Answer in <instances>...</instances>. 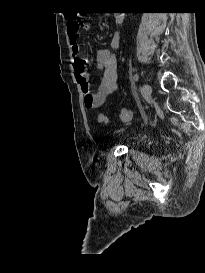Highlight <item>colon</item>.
Returning <instances> with one entry per match:
<instances>
[{"instance_id": "5ec220e1", "label": "colon", "mask_w": 205, "mask_h": 273, "mask_svg": "<svg viewBox=\"0 0 205 273\" xmlns=\"http://www.w3.org/2000/svg\"><path fill=\"white\" fill-rule=\"evenodd\" d=\"M82 25H83V22L80 21V22H78V24H76V28H81ZM120 118L124 122L130 121L131 118H132V111L130 109H127V108H122L121 111H120ZM99 122L107 123L108 118L106 116H104V115H100L99 116Z\"/></svg>"}]
</instances>
